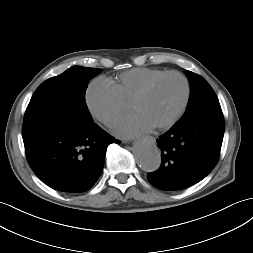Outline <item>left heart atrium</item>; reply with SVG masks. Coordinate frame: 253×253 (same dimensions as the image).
<instances>
[{"label": "left heart atrium", "instance_id": "39dd6f15", "mask_svg": "<svg viewBox=\"0 0 253 253\" xmlns=\"http://www.w3.org/2000/svg\"><path fill=\"white\" fill-rule=\"evenodd\" d=\"M154 126L141 114L134 113L119 120L115 131L123 137H132L150 131Z\"/></svg>", "mask_w": 253, "mask_h": 253}]
</instances>
